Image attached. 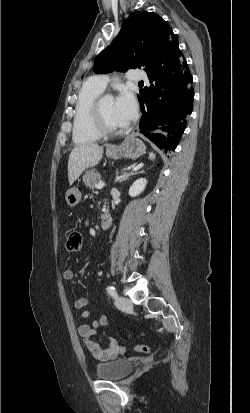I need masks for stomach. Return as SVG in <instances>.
Wrapping results in <instances>:
<instances>
[{"label": "stomach", "mask_w": 250, "mask_h": 413, "mask_svg": "<svg viewBox=\"0 0 250 413\" xmlns=\"http://www.w3.org/2000/svg\"><path fill=\"white\" fill-rule=\"evenodd\" d=\"M145 151L146 147L140 139L127 137L114 151L108 149L106 155L113 159L120 157L135 159L142 156ZM65 200L70 207H75L81 200V192L77 187H72L66 192Z\"/></svg>", "instance_id": "0dacf381"}]
</instances>
